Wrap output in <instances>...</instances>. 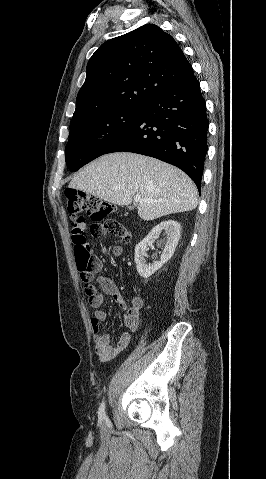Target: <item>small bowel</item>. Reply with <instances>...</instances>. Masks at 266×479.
Wrapping results in <instances>:
<instances>
[{
    "instance_id": "obj_1",
    "label": "small bowel",
    "mask_w": 266,
    "mask_h": 479,
    "mask_svg": "<svg viewBox=\"0 0 266 479\" xmlns=\"http://www.w3.org/2000/svg\"><path fill=\"white\" fill-rule=\"evenodd\" d=\"M103 261L99 257L93 258V272L99 273L103 268ZM98 283L103 293H98L96 300L91 305L97 308L91 319V327L94 332L95 353L101 361L107 362L118 356L124 349L128 347L132 339V333L136 332L140 327V315L144 305V301L140 296H134L131 305L128 306L125 299L116 284L109 278L100 276ZM110 296L116 305L124 312L122 314L125 327L130 332H123L117 343L112 344L111 334L101 330V324L107 319V313L99 309L104 303V297Z\"/></svg>"
}]
</instances>
